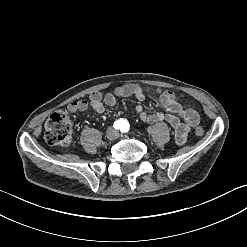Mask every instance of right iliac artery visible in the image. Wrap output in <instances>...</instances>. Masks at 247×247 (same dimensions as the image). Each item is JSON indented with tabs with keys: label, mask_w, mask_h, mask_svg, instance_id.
Wrapping results in <instances>:
<instances>
[{
	"label": "right iliac artery",
	"mask_w": 247,
	"mask_h": 247,
	"mask_svg": "<svg viewBox=\"0 0 247 247\" xmlns=\"http://www.w3.org/2000/svg\"><path fill=\"white\" fill-rule=\"evenodd\" d=\"M121 125H122V121L121 120H117V121L114 122L113 127L115 129H120L122 127Z\"/></svg>",
	"instance_id": "1"
}]
</instances>
